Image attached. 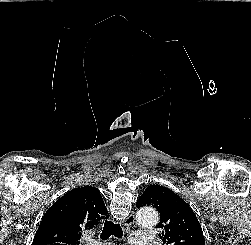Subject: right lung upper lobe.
<instances>
[{"label": "right lung upper lobe", "instance_id": "right-lung-upper-lobe-1", "mask_svg": "<svg viewBox=\"0 0 251 245\" xmlns=\"http://www.w3.org/2000/svg\"><path fill=\"white\" fill-rule=\"evenodd\" d=\"M107 217L100 192L82 186L64 194L45 213L32 245H78L81 232Z\"/></svg>", "mask_w": 251, "mask_h": 245}]
</instances>
